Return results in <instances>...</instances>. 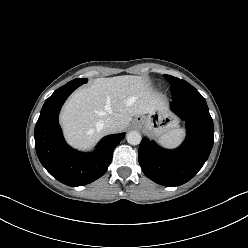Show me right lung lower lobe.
<instances>
[{
    "mask_svg": "<svg viewBox=\"0 0 248 248\" xmlns=\"http://www.w3.org/2000/svg\"><path fill=\"white\" fill-rule=\"evenodd\" d=\"M81 84H66L44 103L35 126V148L44 168L68 186L86 185L100 178L111 163L115 147L125 133L104 137L93 153H82L69 147L58 123L60 109L67 97Z\"/></svg>",
    "mask_w": 248,
    "mask_h": 248,
    "instance_id": "98d812e1",
    "label": "right lung lower lobe"
}]
</instances>
